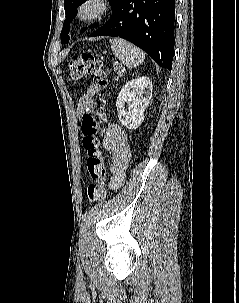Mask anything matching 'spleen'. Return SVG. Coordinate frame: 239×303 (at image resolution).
<instances>
[{"label":"spleen","mask_w":239,"mask_h":303,"mask_svg":"<svg viewBox=\"0 0 239 303\" xmlns=\"http://www.w3.org/2000/svg\"><path fill=\"white\" fill-rule=\"evenodd\" d=\"M113 53L122 61L128 68H134L143 63L145 53L137 46L124 39H110Z\"/></svg>","instance_id":"spleen-1"}]
</instances>
